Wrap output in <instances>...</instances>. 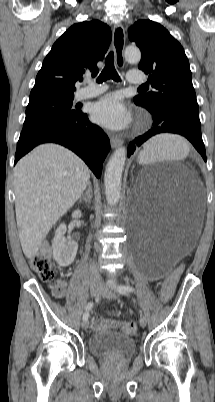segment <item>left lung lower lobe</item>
<instances>
[{
	"mask_svg": "<svg viewBox=\"0 0 215 402\" xmlns=\"http://www.w3.org/2000/svg\"><path fill=\"white\" fill-rule=\"evenodd\" d=\"M146 108L152 115V127L143 135L138 136L128 147V157L135 149L149 138L161 133H176L186 137L206 161V152L201 136V124L199 116L187 113L177 108H151L135 103Z\"/></svg>",
	"mask_w": 215,
	"mask_h": 402,
	"instance_id": "1",
	"label": "left lung lower lobe"
}]
</instances>
